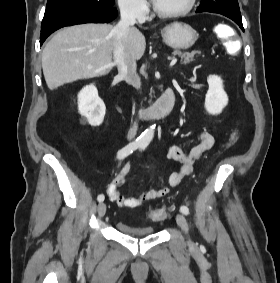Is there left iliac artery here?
<instances>
[{"label":"left iliac artery","instance_id":"obj_1","mask_svg":"<svg viewBox=\"0 0 280 283\" xmlns=\"http://www.w3.org/2000/svg\"><path fill=\"white\" fill-rule=\"evenodd\" d=\"M145 147H146V145H142L140 148H141V150H144ZM180 211H181L184 215H188V214H189V209H188V207L185 206V205H182V206L180 207Z\"/></svg>","mask_w":280,"mask_h":283}]
</instances>
